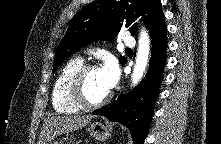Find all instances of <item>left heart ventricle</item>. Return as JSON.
<instances>
[{"label": "left heart ventricle", "mask_w": 221, "mask_h": 144, "mask_svg": "<svg viewBox=\"0 0 221 144\" xmlns=\"http://www.w3.org/2000/svg\"><path fill=\"white\" fill-rule=\"evenodd\" d=\"M84 91L90 101H98L109 92L104 85L100 69L88 73L84 83Z\"/></svg>", "instance_id": "1"}]
</instances>
